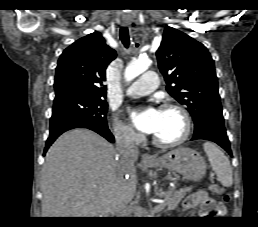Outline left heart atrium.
I'll return each instance as SVG.
<instances>
[{
  "mask_svg": "<svg viewBox=\"0 0 258 227\" xmlns=\"http://www.w3.org/2000/svg\"><path fill=\"white\" fill-rule=\"evenodd\" d=\"M131 118L139 130L151 134L154 133L157 128L159 110L154 107H149L142 112H132Z\"/></svg>",
  "mask_w": 258,
  "mask_h": 227,
  "instance_id": "obj_1",
  "label": "left heart atrium"
}]
</instances>
